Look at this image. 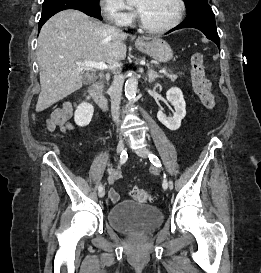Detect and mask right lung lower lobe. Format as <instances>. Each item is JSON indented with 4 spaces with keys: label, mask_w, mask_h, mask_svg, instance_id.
Listing matches in <instances>:
<instances>
[{
    "label": "right lung lower lobe",
    "mask_w": 261,
    "mask_h": 273,
    "mask_svg": "<svg viewBox=\"0 0 261 273\" xmlns=\"http://www.w3.org/2000/svg\"><path fill=\"white\" fill-rule=\"evenodd\" d=\"M67 6V4L65 5ZM68 9H76V10H80L82 12H84L85 14L97 18V19H102V17L100 16V11H97L95 9H92L90 7H88L86 5V3L83 0H71L69 2V6ZM59 12V11H58ZM57 12L53 13V14H49V15H41V19L39 21V30L41 29V27L43 26V24L54 14H56Z\"/></svg>",
    "instance_id": "right-lung-lower-lobe-1"
}]
</instances>
